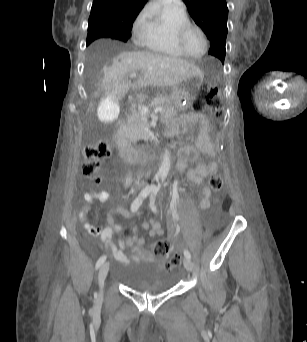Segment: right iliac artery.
Returning a JSON list of instances; mask_svg holds the SVG:
<instances>
[{"label":"right iliac artery","mask_w":307,"mask_h":342,"mask_svg":"<svg viewBox=\"0 0 307 342\" xmlns=\"http://www.w3.org/2000/svg\"><path fill=\"white\" fill-rule=\"evenodd\" d=\"M153 187L151 188H145L143 189L140 194L138 195V197L133 201L132 205H131V211L132 212H136L139 207L141 206L142 202L145 200V198L151 193ZM106 260V256L103 255L101 256L98 261L96 262V269H98L99 267H101L103 265V263Z\"/></svg>","instance_id":"1"}]
</instances>
